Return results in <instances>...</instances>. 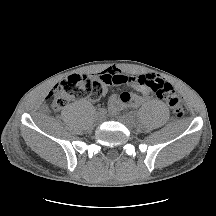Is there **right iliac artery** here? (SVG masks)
<instances>
[{
	"label": "right iliac artery",
	"instance_id": "obj_1",
	"mask_svg": "<svg viewBox=\"0 0 216 216\" xmlns=\"http://www.w3.org/2000/svg\"><path fill=\"white\" fill-rule=\"evenodd\" d=\"M98 114L104 116V115L107 114V110H106L105 108H100V109L98 110Z\"/></svg>",
	"mask_w": 216,
	"mask_h": 216
}]
</instances>
